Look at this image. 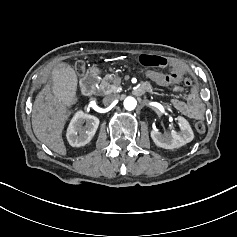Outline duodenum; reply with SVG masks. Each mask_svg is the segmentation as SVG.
I'll use <instances>...</instances> for the list:
<instances>
[{"label":"duodenum","instance_id":"obj_1","mask_svg":"<svg viewBox=\"0 0 237 237\" xmlns=\"http://www.w3.org/2000/svg\"><path fill=\"white\" fill-rule=\"evenodd\" d=\"M97 82L98 74L96 70L91 69L87 71L80 79L82 93L87 96L91 95L96 88Z\"/></svg>","mask_w":237,"mask_h":237}]
</instances>
